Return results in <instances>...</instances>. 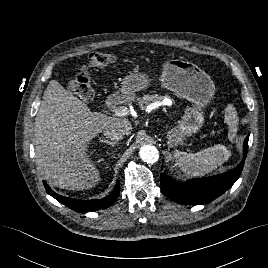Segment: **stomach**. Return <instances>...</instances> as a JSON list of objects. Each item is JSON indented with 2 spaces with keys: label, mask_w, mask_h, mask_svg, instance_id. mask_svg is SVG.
<instances>
[{
  "label": "stomach",
  "mask_w": 268,
  "mask_h": 268,
  "mask_svg": "<svg viewBox=\"0 0 268 268\" xmlns=\"http://www.w3.org/2000/svg\"><path fill=\"white\" fill-rule=\"evenodd\" d=\"M161 85L177 96L190 101L193 106L188 107L177 125L168 130V144L177 146L185 137L196 134L204 124L203 109L214 97L215 85L211 77L196 64L183 59H169L163 64L160 77ZM150 85L147 74L134 72L127 75L120 88L125 101H133L136 92L146 90Z\"/></svg>",
  "instance_id": "stomach-1"
}]
</instances>
